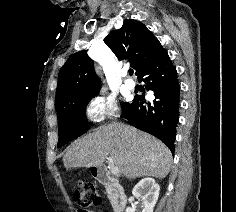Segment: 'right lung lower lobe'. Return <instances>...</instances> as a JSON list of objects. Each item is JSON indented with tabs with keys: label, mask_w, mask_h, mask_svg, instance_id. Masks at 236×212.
I'll use <instances>...</instances> for the list:
<instances>
[{
	"label": "right lung lower lobe",
	"mask_w": 236,
	"mask_h": 212,
	"mask_svg": "<svg viewBox=\"0 0 236 212\" xmlns=\"http://www.w3.org/2000/svg\"><path fill=\"white\" fill-rule=\"evenodd\" d=\"M147 90L155 96L153 102H140L135 96L133 103L122 107V118L145 132L159 138L174 154L176 125L179 119L180 85L177 71L167 51L160 46L138 75ZM145 103V105H143Z\"/></svg>",
	"instance_id": "right-lung-lower-lobe-1"
}]
</instances>
